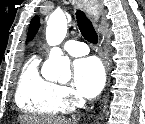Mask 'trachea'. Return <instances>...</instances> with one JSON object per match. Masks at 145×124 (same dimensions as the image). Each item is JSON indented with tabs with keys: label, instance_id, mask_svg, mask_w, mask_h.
I'll list each match as a JSON object with an SVG mask.
<instances>
[{
	"label": "trachea",
	"instance_id": "3493384b",
	"mask_svg": "<svg viewBox=\"0 0 145 124\" xmlns=\"http://www.w3.org/2000/svg\"><path fill=\"white\" fill-rule=\"evenodd\" d=\"M76 19L79 30L82 36L90 43L96 44L98 42L97 33L91 23V21L87 18L85 13L81 10L76 11Z\"/></svg>",
	"mask_w": 145,
	"mask_h": 124
}]
</instances>
